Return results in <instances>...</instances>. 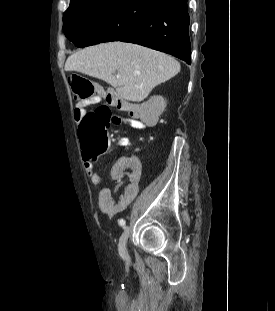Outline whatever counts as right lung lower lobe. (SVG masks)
I'll list each match as a JSON object with an SVG mask.
<instances>
[{"label":"right lung lower lobe","instance_id":"98d812e1","mask_svg":"<svg viewBox=\"0 0 275 311\" xmlns=\"http://www.w3.org/2000/svg\"><path fill=\"white\" fill-rule=\"evenodd\" d=\"M187 0L163 1L133 22L115 41L140 44L190 64Z\"/></svg>","mask_w":275,"mask_h":311}]
</instances>
